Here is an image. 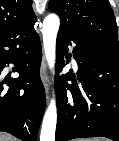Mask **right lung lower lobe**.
Instances as JSON below:
<instances>
[{"mask_svg":"<svg viewBox=\"0 0 119 141\" xmlns=\"http://www.w3.org/2000/svg\"><path fill=\"white\" fill-rule=\"evenodd\" d=\"M34 24L0 39V131L23 141L37 140L45 109L40 79L42 50ZM10 63L17 67L18 78L3 76V69Z\"/></svg>","mask_w":119,"mask_h":141,"instance_id":"obj_1","label":"right lung lower lobe"}]
</instances>
